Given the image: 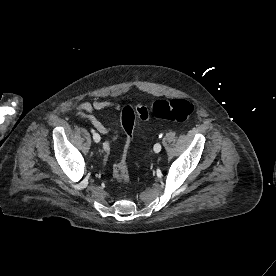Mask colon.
<instances>
[{
    "mask_svg": "<svg viewBox=\"0 0 276 276\" xmlns=\"http://www.w3.org/2000/svg\"><path fill=\"white\" fill-rule=\"evenodd\" d=\"M193 104L185 99L158 100L150 107L139 104L135 108L127 105L121 109L123 129L131 134L135 118L148 121L151 118L167 119L176 122L187 120L193 112ZM114 178L117 183L127 185L130 182L128 174V158L123 157L114 167Z\"/></svg>",
    "mask_w": 276,
    "mask_h": 276,
    "instance_id": "1",
    "label": "colon"
}]
</instances>
